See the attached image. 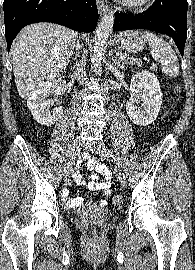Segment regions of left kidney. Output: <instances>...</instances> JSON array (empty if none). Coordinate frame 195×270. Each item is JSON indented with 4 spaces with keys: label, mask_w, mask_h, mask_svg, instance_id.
I'll list each match as a JSON object with an SVG mask.
<instances>
[{
    "label": "left kidney",
    "mask_w": 195,
    "mask_h": 270,
    "mask_svg": "<svg viewBox=\"0 0 195 270\" xmlns=\"http://www.w3.org/2000/svg\"><path fill=\"white\" fill-rule=\"evenodd\" d=\"M130 94L126 111L133 123L146 126L154 122L162 104V91L157 77L149 71L137 73L131 79ZM140 101L142 104L138 107Z\"/></svg>",
    "instance_id": "left-kidney-1"
}]
</instances>
